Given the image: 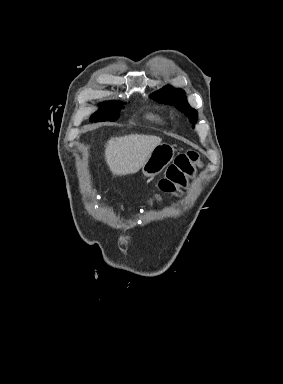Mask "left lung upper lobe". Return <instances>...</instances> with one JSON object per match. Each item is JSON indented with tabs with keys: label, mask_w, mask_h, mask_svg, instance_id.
<instances>
[{
	"label": "left lung upper lobe",
	"mask_w": 283,
	"mask_h": 384,
	"mask_svg": "<svg viewBox=\"0 0 283 384\" xmlns=\"http://www.w3.org/2000/svg\"><path fill=\"white\" fill-rule=\"evenodd\" d=\"M150 97L163 103L175 105L178 110L189 116L191 123H196L198 113L188 104L183 90L174 89L171 86H165L161 90L150 95Z\"/></svg>",
	"instance_id": "left-lung-upper-lobe-1"
}]
</instances>
